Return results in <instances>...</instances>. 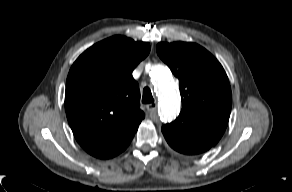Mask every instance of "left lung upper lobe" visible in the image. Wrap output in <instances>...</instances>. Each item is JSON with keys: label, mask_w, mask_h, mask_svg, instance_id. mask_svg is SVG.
<instances>
[{"label": "left lung upper lobe", "mask_w": 292, "mask_h": 192, "mask_svg": "<svg viewBox=\"0 0 292 192\" xmlns=\"http://www.w3.org/2000/svg\"><path fill=\"white\" fill-rule=\"evenodd\" d=\"M157 53L179 79L182 99L180 115L162 130L189 141L216 145L228 125L232 105L223 67L195 43H159Z\"/></svg>", "instance_id": "obj_1"}]
</instances>
